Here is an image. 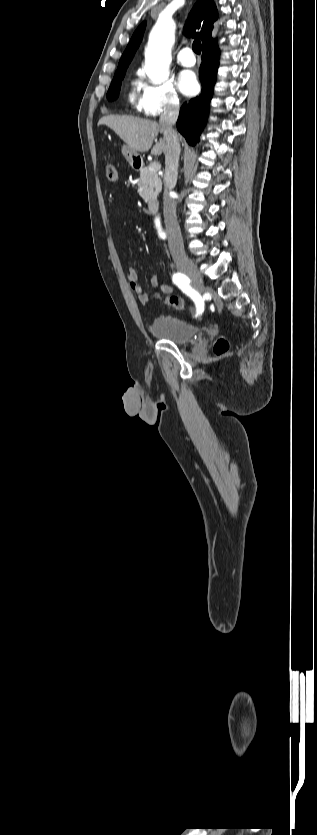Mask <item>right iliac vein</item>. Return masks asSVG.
Returning a JSON list of instances; mask_svg holds the SVG:
<instances>
[{
  "label": "right iliac vein",
  "instance_id": "1",
  "mask_svg": "<svg viewBox=\"0 0 317 835\" xmlns=\"http://www.w3.org/2000/svg\"><path fill=\"white\" fill-rule=\"evenodd\" d=\"M176 264L190 278L193 288L199 293L203 292V281L196 265L188 257L177 258Z\"/></svg>",
  "mask_w": 317,
  "mask_h": 835
}]
</instances>
